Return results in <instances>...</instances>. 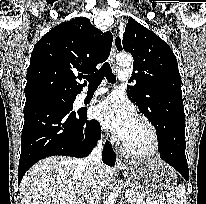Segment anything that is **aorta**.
Wrapping results in <instances>:
<instances>
[{
    "mask_svg": "<svg viewBox=\"0 0 206 204\" xmlns=\"http://www.w3.org/2000/svg\"><path fill=\"white\" fill-rule=\"evenodd\" d=\"M117 64L120 66H129L133 62L132 56L127 53H120L116 57ZM116 194H110L104 204H115Z\"/></svg>",
    "mask_w": 206,
    "mask_h": 204,
    "instance_id": "762f6f07",
    "label": "aorta"
}]
</instances>
